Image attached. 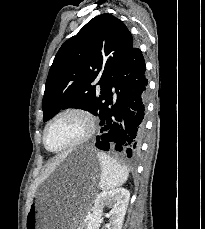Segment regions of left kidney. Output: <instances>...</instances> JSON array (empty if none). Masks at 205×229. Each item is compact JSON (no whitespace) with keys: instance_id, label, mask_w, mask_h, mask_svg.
Listing matches in <instances>:
<instances>
[{"instance_id":"1","label":"left kidney","mask_w":205,"mask_h":229,"mask_svg":"<svg viewBox=\"0 0 205 229\" xmlns=\"http://www.w3.org/2000/svg\"><path fill=\"white\" fill-rule=\"evenodd\" d=\"M130 193L125 188L103 191L97 195L93 214L89 215L87 229H99L105 206L111 208L108 229H122V224L129 203Z\"/></svg>"}]
</instances>
